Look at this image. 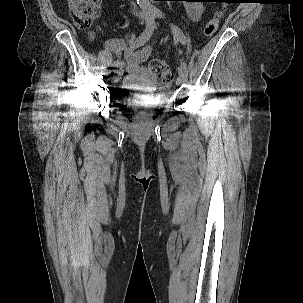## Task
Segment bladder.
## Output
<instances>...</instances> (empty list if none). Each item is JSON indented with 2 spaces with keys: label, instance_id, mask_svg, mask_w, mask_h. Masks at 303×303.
<instances>
[{
  "label": "bladder",
  "instance_id": "31cf9c89",
  "mask_svg": "<svg viewBox=\"0 0 303 303\" xmlns=\"http://www.w3.org/2000/svg\"><path fill=\"white\" fill-rule=\"evenodd\" d=\"M153 108L151 109H147V110H144L142 112H135L133 113L134 117H142L143 115L147 114V115H150L153 113Z\"/></svg>",
  "mask_w": 303,
  "mask_h": 303
}]
</instances>
